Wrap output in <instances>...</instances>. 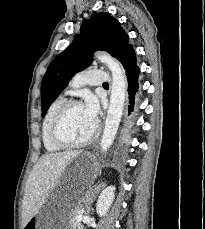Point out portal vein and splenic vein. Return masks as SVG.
I'll return each mask as SVG.
<instances>
[{
    "label": "portal vein and splenic vein",
    "instance_id": "1",
    "mask_svg": "<svg viewBox=\"0 0 205 229\" xmlns=\"http://www.w3.org/2000/svg\"><path fill=\"white\" fill-rule=\"evenodd\" d=\"M82 219V216H77V220H81Z\"/></svg>",
    "mask_w": 205,
    "mask_h": 229
}]
</instances>
